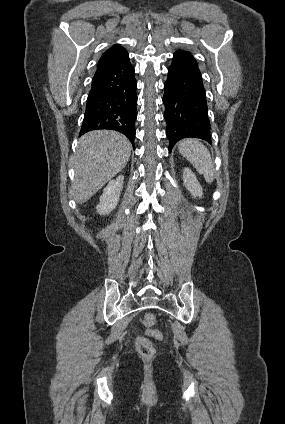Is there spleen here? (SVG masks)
<instances>
[{
	"label": "spleen",
	"instance_id": "3e777b00",
	"mask_svg": "<svg viewBox=\"0 0 285 424\" xmlns=\"http://www.w3.org/2000/svg\"><path fill=\"white\" fill-rule=\"evenodd\" d=\"M179 152L196 170L203 174L208 183L214 180V164L208 149L198 139H183L178 144Z\"/></svg>",
	"mask_w": 285,
	"mask_h": 424
}]
</instances>
